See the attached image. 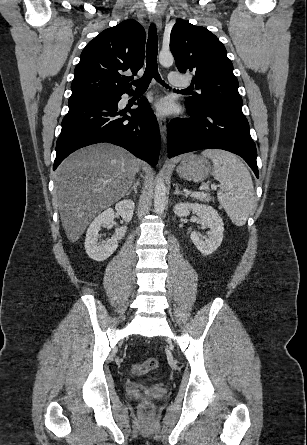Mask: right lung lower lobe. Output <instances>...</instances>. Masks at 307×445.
<instances>
[{
	"label": "right lung lower lobe",
	"mask_w": 307,
	"mask_h": 445,
	"mask_svg": "<svg viewBox=\"0 0 307 445\" xmlns=\"http://www.w3.org/2000/svg\"><path fill=\"white\" fill-rule=\"evenodd\" d=\"M123 93H114L69 102V111L62 121L61 134L56 144L53 170L75 150L99 142H109L124 147L152 166L158 162L160 133L158 123L145 97L131 117L124 115L117 103Z\"/></svg>",
	"instance_id": "obj_1"
}]
</instances>
